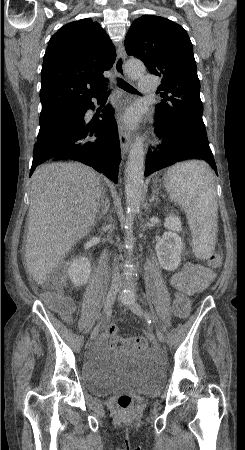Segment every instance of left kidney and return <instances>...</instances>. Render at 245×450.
I'll use <instances>...</instances> for the list:
<instances>
[{"mask_svg": "<svg viewBox=\"0 0 245 450\" xmlns=\"http://www.w3.org/2000/svg\"><path fill=\"white\" fill-rule=\"evenodd\" d=\"M167 228L162 238L156 243L155 251L161 267L167 271H175L181 262L184 243L178 233L182 231L178 216L169 215L165 219Z\"/></svg>", "mask_w": 245, "mask_h": 450, "instance_id": "obj_1", "label": "left kidney"}]
</instances>
